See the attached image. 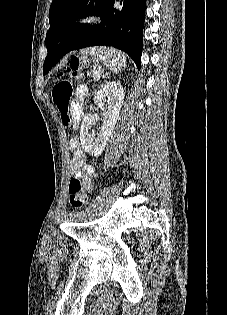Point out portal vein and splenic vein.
Instances as JSON below:
<instances>
[{"mask_svg":"<svg viewBox=\"0 0 227 315\" xmlns=\"http://www.w3.org/2000/svg\"><path fill=\"white\" fill-rule=\"evenodd\" d=\"M100 77V69L94 70V78H99Z\"/></svg>","mask_w":227,"mask_h":315,"instance_id":"18ae733b","label":"portal vein and splenic vein"}]
</instances>
